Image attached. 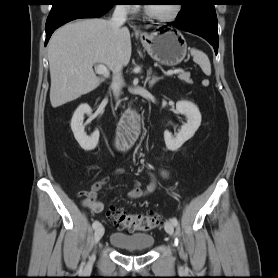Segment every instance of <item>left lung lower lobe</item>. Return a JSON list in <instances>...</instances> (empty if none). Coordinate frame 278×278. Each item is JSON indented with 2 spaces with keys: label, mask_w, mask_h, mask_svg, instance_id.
I'll return each instance as SVG.
<instances>
[{
  "label": "left lung lower lobe",
  "mask_w": 278,
  "mask_h": 278,
  "mask_svg": "<svg viewBox=\"0 0 278 278\" xmlns=\"http://www.w3.org/2000/svg\"><path fill=\"white\" fill-rule=\"evenodd\" d=\"M197 3L198 5L192 10L179 13L176 18L177 21L170 23V25L203 37L214 47L215 54H217L219 39L215 10L205 5L204 1Z\"/></svg>",
  "instance_id": "1"
}]
</instances>
